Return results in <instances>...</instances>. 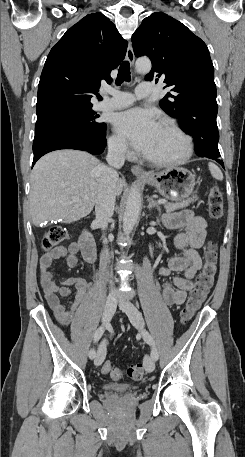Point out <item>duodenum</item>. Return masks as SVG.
Instances as JSON below:
<instances>
[{"instance_id": "obj_1", "label": "duodenum", "mask_w": 245, "mask_h": 457, "mask_svg": "<svg viewBox=\"0 0 245 457\" xmlns=\"http://www.w3.org/2000/svg\"><path fill=\"white\" fill-rule=\"evenodd\" d=\"M79 246L84 259L93 263L96 260V243L92 233L89 230H84L79 239Z\"/></svg>"}]
</instances>
